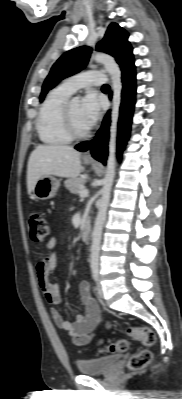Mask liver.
<instances>
[{
	"label": "liver",
	"instance_id": "obj_1",
	"mask_svg": "<svg viewBox=\"0 0 182 399\" xmlns=\"http://www.w3.org/2000/svg\"><path fill=\"white\" fill-rule=\"evenodd\" d=\"M80 156V152L66 145H38L28 160V193H32L37 180L44 176L77 178L84 171Z\"/></svg>",
	"mask_w": 182,
	"mask_h": 399
}]
</instances>
